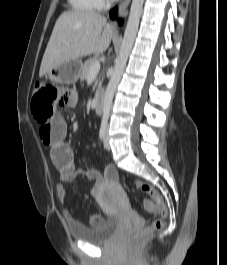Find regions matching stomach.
I'll use <instances>...</instances> for the list:
<instances>
[{"label":"stomach","mask_w":227,"mask_h":265,"mask_svg":"<svg viewBox=\"0 0 227 265\" xmlns=\"http://www.w3.org/2000/svg\"><path fill=\"white\" fill-rule=\"evenodd\" d=\"M81 67L80 60L69 61L48 71L47 77L57 84L68 85V82H71L72 85L79 79Z\"/></svg>","instance_id":"obj_1"}]
</instances>
